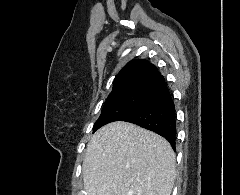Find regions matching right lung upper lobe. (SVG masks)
<instances>
[{
    "instance_id": "cb5924a9",
    "label": "right lung upper lobe",
    "mask_w": 240,
    "mask_h": 195,
    "mask_svg": "<svg viewBox=\"0 0 240 195\" xmlns=\"http://www.w3.org/2000/svg\"><path fill=\"white\" fill-rule=\"evenodd\" d=\"M164 81V77L158 72L155 65L144 59L132 60L116 76L113 89L109 95L123 93L147 94Z\"/></svg>"
}]
</instances>
